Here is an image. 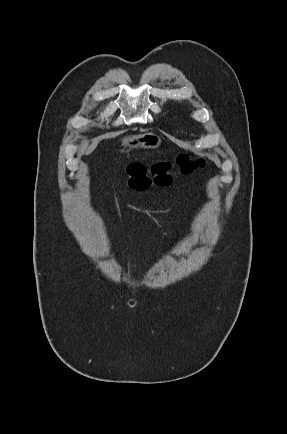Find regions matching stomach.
<instances>
[{
	"label": "stomach",
	"mask_w": 287,
	"mask_h": 434,
	"mask_svg": "<svg viewBox=\"0 0 287 434\" xmlns=\"http://www.w3.org/2000/svg\"><path fill=\"white\" fill-rule=\"evenodd\" d=\"M121 142L123 146L129 148L156 149L160 146L162 140L157 134L147 132L141 135L124 137Z\"/></svg>",
	"instance_id": "stomach-1"
}]
</instances>
